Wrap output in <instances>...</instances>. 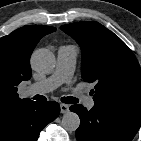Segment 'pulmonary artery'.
Listing matches in <instances>:
<instances>
[{
    "label": "pulmonary artery",
    "instance_id": "1",
    "mask_svg": "<svg viewBox=\"0 0 141 141\" xmlns=\"http://www.w3.org/2000/svg\"><path fill=\"white\" fill-rule=\"evenodd\" d=\"M78 50L74 46H61L57 51L56 67L47 78L33 83L25 89L26 95L44 94L53 91L64 83H70ZM87 108L94 106V100L90 97L84 99Z\"/></svg>",
    "mask_w": 141,
    "mask_h": 141
}]
</instances>
